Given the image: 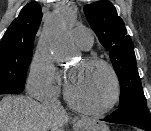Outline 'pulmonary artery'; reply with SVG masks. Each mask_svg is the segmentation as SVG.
I'll return each mask as SVG.
<instances>
[{
  "label": "pulmonary artery",
  "instance_id": "e3ab8cb5",
  "mask_svg": "<svg viewBox=\"0 0 151 131\" xmlns=\"http://www.w3.org/2000/svg\"><path fill=\"white\" fill-rule=\"evenodd\" d=\"M73 38L75 43L83 50H88L93 45V33L84 27H76L73 30Z\"/></svg>",
  "mask_w": 151,
  "mask_h": 131
}]
</instances>
